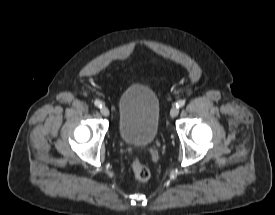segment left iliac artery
<instances>
[{"label": "left iliac artery", "instance_id": "obj_1", "mask_svg": "<svg viewBox=\"0 0 275 215\" xmlns=\"http://www.w3.org/2000/svg\"><path fill=\"white\" fill-rule=\"evenodd\" d=\"M185 105V100H179L177 103H176V107H182Z\"/></svg>", "mask_w": 275, "mask_h": 215}]
</instances>
